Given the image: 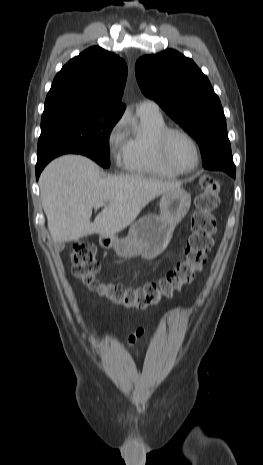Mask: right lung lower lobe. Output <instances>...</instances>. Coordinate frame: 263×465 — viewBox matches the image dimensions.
<instances>
[{"mask_svg": "<svg viewBox=\"0 0 263 465\" xmlns=\"http://www.w3.org/2000/svg\"><path fill=\"white\" fill-rule=\"evenodd\" d=\"M44 166H45V165H40V166H39L38 164H36V177H37V179H38V177H39V175H40L42 169L44 168Z\"/></svg>", "mask_w": 263, "mask_h": 465, "instance_id": "1", "label": "right lung lower lobe"}]
</instances>
